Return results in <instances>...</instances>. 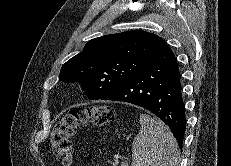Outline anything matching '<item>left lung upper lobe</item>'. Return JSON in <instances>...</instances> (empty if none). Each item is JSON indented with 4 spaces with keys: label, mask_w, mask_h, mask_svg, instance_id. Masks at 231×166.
I'll return each instance as SVG.
<instances>
[{
    "label": "left lung upper lobe",
    "mask_w": 231,
    "mask_h": 166,
    "mask_svg": "<svg viewBox=\"0 0 231 166\" xmlns=\"http://www.w3.org/2000/svg\"><path fill=\"white\" fill-rule=\"evenodd\" d=\"M167 47L162 38L139 30L95 38L62 66L59 80L78 81L89 99L98 100L154 61Z\"/></svg>",
    "instance_id": "obj_1"
}]
</instances>
